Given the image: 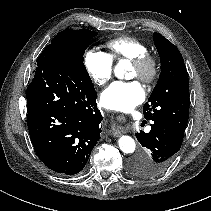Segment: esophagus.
<instances>
[{
    "instance_id": "obj_1",
    "label": "esophagus",
    "mask_w": 211,
    "mask_h": 211,
    "mask_svg": "<svg viewBox=\"0 0 211 211\" xmlns=\"http://www.w3.org/2000/svg\"><path fill=\"white\" fill-rule=\"evenodd\" d=\"M112 129L115 131L114 133L115 136H118L120 134L121 127L116 123L112 125Z\"/></svg>"
}]
</instances>
